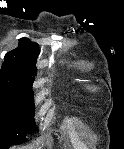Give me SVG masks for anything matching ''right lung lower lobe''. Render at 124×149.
Segmentation results:
<instances>
[{
	"label": "right lung lower lobe",
	"mask_w": 124,
	"mask_h": 149,
	"mask_svg": "<svg viewBox=\"0 0 124 149\" xmlns=\"http://www.w3.org/2000/svg\"><path fill=\"white\" fill-rule=\"evenodd\" d=\"M11 145H1V148L7 149L8 147H10Z\"/></svg>",
	"instance_id": "right-lung-lower-lobe-1"
}]
</instances>
